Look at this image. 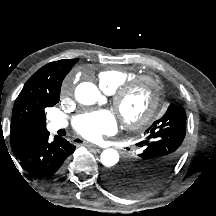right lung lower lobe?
<instances>
[{"instance_id":"obj_1","label":"right lung lower lobe","mask_w":216,"mask_h":216,"mask_svg":"<svg viewBox=\"0 0 216 216\" xmlns=\"http://www.w3.org/2000/svg\"><path fill=\"white\" fill-rule=\"evenodd\" d=\"M75 146L66 139L55 136L49 141V132L34 136L16 155L21 166L32 176L50 179L58 175L66 158L71 155Z\"/></svg>"}]
</instances>
